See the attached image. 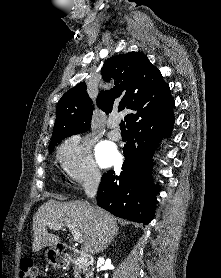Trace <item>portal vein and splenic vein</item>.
Wrapping results in <instances>:
<instances>
[{"instance_id":"obj_1","label":"portal vein and splenic vein","mask_w":221,"mask_h":278,"mask_svg":"<svg viewBox=\"0 0 221 278\" xmlns=\"http://www.w3.org/2000/svg\"><path fill=\"white\" fill-rule=\"evenodd\" d=\"M64 226H67L69 228V230L71 231L72 233V236L74 238V240L77 242V243H83L84 242V238L82 236V234L78 231V229L71 225V224H54V225H50V228L54 229V230H59L61 228H63Z\"/></svg>"}]
</instances>
